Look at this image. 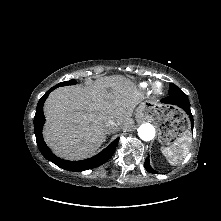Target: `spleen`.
Here are the masks:
<instances>
[{
  "instance_id": "3e777b00",
  "label": "spleen",
  "mask_w": 221,
  "mask_h": 221,
  "mask_svg": "<svg viewBox=\"0 0 221 221\" xmlns=\"http://www.w3.org/2000/svg\"><path fill=\"white\" fill-rule=\"evenodd\" d=\"M191 140V134L188 131L174 141L171 146L162 147L161 151L170 164L176 165L189 153V145Z\"/></svg>"
}]
</instances>
